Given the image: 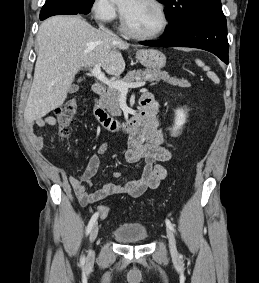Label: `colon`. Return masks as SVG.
Listing matches in <instances>:
<instances>
[{"label":"colon","instance_id":"1","mask_svg":"<svg viewBox=\"0 0 259 283\" xmlns=\"http://www.w3.org/2000/svg\"><path fill=\"white\" fill-rule=\"evenodd\" d=\"M79 103L75 97L67 99L63 105L56 112V120L59 128V136L61 138H67L70 134V128L73 119L78 111ZM109 213L107 206H101L99 213L101 218H106Z\"/></svg>","mask_w":259,"mask_h":283}]
</instances>
